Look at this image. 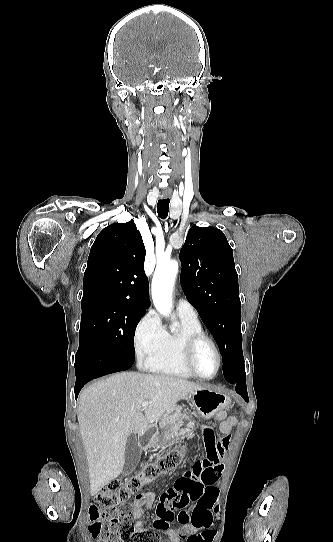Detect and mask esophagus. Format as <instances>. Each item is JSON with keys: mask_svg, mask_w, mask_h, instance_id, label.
I'll return each mask as SVG.
<instances>
[{"mask_svg": "<svg viewBox=\"0 0 333 542\" xmlns=\"http://www.w3.org/2000/svg\"><path fill=\"white\" fill-rule=\"evenodd\" d=\"M170 194H171L170 192H162L163 197H169Z\"/></svg>", "mask_w": 333, "mask_h": 542, "instance_id": "1", "label": "esophagus"}]
</instances>
